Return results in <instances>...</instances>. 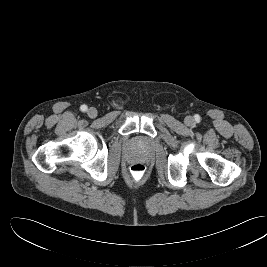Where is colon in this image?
<instances>
[{
    "mask_svg": "<svg viewBox=\"0 0 267 267\" xmlns=\"http://www.w3.org/2000/svg\"><path fill=\"white\" fill-rule=\"evenodd\" d=\"M146 167L142 163H134L130 167V174L135 181H140L144 178Z\"/></svg>",
    "mask_w": 267,
    "mask_h": 267,
    "instance_id": "5ec220e1",
    "label": "colon"
}]
</instances>
